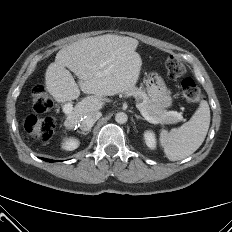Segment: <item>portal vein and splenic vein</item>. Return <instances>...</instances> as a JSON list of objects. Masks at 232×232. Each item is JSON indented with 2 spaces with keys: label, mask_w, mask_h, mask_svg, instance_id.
Returning a JSON list of instances; mask_svg holds the SVG:
<instances>
[{
  "label": "portal vein and splenic vein",
  "mask_w": 232,
  "mask_h": 232,
  "mask_svg": "<svg viewBox=\"0 0 232 232\" xmlns=\"http://www.w3.org/2000/svg\"><path fill=\"white\" fill-rule=\"evenodd\" d=\"M136 107L138 108V110L140 111L141 115L149 122L152 124H159L160 121L158 119H155L153 117H151L148 112L141 106V104H137ZM73 110V105L71 103H67L64 105L63 107V112L65 114H69L71 113V111ZM168 114H173L178 116L180 119L182 118L181 114L174 112V111H169Z\"/></svg>",
  "instance_id": "portal-vein-and-splenic-vein-1"
}]
</instances>
